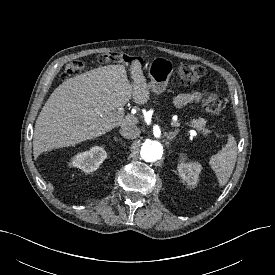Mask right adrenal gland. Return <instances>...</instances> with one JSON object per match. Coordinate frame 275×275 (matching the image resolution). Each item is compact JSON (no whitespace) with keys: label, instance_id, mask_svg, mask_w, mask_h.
Listing matches in <instances>:
<instances>
[{"label":"right adrenal gland","instance_id":"obj_1","mask_svg":"<svg viewBox=\"0 0 275 275\" xmlns=\"http://www.w3.org/2000/svg\"><path fill=\"white\" fill-rule=\"evenodd\" d=\"M114 140H119V141H122V139H121V138H116V137H114Z\"/></svg>","mask_w":275,"mask_h":275}]
</instances>
